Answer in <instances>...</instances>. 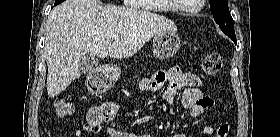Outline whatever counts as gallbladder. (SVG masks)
<instances>
[{"label":"gallbladder","mask_w":280,"mask_h":137,"mask_svg":"<svg viewBox=\"0 0 280 137\" xmlns=\"http://www.w3.org/2000/svg\"><path fill=\"white\" fill-rule=\"evenodd\" d=\"M99 64L98 58L93 55H85L82 57L78 63L79 69L82 73H91L97 69Z\"/></svg>","instance_id":"bac80fb5"}]
</instances>
